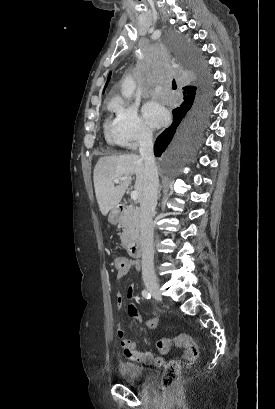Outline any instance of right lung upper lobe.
Returning <instances> with one entry per match:
<instances>
[{
    "instance_id": "1",
    "label": "right lung upper lobe",
    "mask_w": 275,
    "mask_h": 409,
    "mask_svg": "<svg viewBox=\"0 0 275 409\" xmlns=\"http://www.w3.org/2000/svg\"><path fill=\"white\" fill-rule=\"evenodd\" d=\"M110 76H111V72L109 73V76H108L105 87L107 86V84H108V82L110 80ZM183 90H184V93H183L184 94V102H186L191 97V95L193 94V92L195 90V86H186V87L183 88Z\"/></svg>"
}]
</instances>
